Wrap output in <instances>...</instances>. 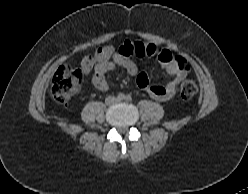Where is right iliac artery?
Returning <instances> with one entry per match:
<instances>
[{
  "label": "right iliac artery",
  "mask_w": 248,
  "mask_h": 194,
  "mask_svg": "<svg viewBox=\"0 0 248 194\" xmlns=\"http://www.w3.org/2000/svg\"><path fill=\"white\" fill-rule=\"evenodd\" d=\"M117 99H118L119 101H122V100L125 99V95H124L123 93H119V94L117 95Z\"/></svg>",
  "instance_id": "1"
}]
</instances>
